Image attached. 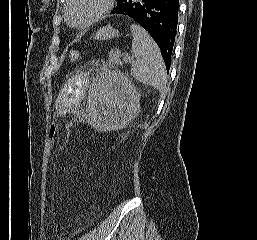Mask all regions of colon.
I'll list each match as a JSON object with an SVG mask.
<instances>
[{
    "label": "colon",
    "mask_w": 257,
    "mask_h": 240,
    "mask_svg": "<svg viewBox=\"0 0 257 240\" xmlns=\"http://www.w3.org/2000/svg\"><path fill=\"white\" fill-rule=\"evenodd\" d=\"M79 58V53L76 50H72L69 53V59L70 61H77ZM57 134V125L56 124H51L49 127V140L53 142L56 138Z\"/></svg>",
    "instance_id": "colon-1"
}]
</instances>
